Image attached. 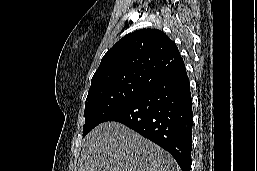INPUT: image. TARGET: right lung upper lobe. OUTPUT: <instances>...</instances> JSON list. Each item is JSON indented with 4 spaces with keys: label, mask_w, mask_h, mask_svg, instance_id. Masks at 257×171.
<instances>
[{
    "label": "right lung upper lobe",
    "mask_w": 257,
    "mask_h": 171,
    "mask_svg": "<svg viewBox=\"0 0 257 171\" xmlns=\"http://www.w3.org/2000/svg\"><path fill=\"white\" fill-rule=\"evenodd\" d=\"M183 68L176 44L164 32L141 29L120 39L104 55L90 89L115 83L150 86Z\"/></svg>",
    "instance_id": "right-lung-upper-lobe-1"
}]
</instances>
